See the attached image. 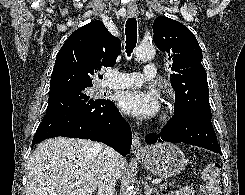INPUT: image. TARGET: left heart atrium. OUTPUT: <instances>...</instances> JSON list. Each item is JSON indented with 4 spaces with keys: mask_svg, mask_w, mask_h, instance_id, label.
Returning <instances> with one entry per match:
<instances>
[{
    "mask_svg": "<svg viewBox=\"0 0 245 195\" xmlns=\"http://www.w3.org/2000/svg\"><path fill=\"white\" fill-rule=\"evenodd\" d=\"M117 101L125 113L140 120L154 118L160 109L155 94L141 89L122 91L118 94Z\"/></svg>",
    "mask_w": 245,
    "mask_h": 195,
    "instance_id": "1",
    "label": "left heart atrium"
}]
</instances>
